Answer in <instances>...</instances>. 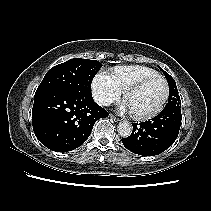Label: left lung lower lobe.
I'll use <instances>...</instances> for the list:
<instances>
[{
    "instance_id": "1",
    "label": "left lung lower lobe",
    "mask_w": 211,
    "mask_h": 211,
    "mask_svg": "<svg viewBox=\"0 0 211 211\" xmlns=\"http://www.w3.org/2000/svg\"><path fill=\"white\" fill-rule=\"evenodd\" d=\"M181 120V107H166L152 120L134 123L132 134L122 139V143L133 153L143 156L158 155L176 140Z\"/></svg>"
}]
</instances>
